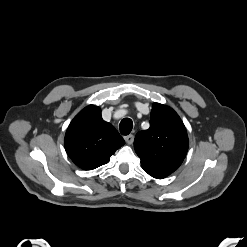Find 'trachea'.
I'll list each match as a JSON object with an SVG mask.
<instances>
[{
	"instance_id": "1",
	"label": "trachea",
	"mask_w": 247,
	"mask_h": 247,
	"mask_svg": "<svg viewBox=\"0 0 247 247\" xmlns=\"http://www.w3.org/2000/svg\"><path fill=\"white\" fill-rule=\"evenodd\" d=\"M133 128V122L129 118H124L119 124L120 133L122 135H128Z\"/></svg>"
}]
</instances>
